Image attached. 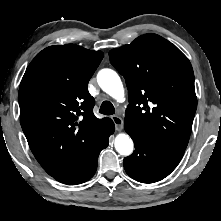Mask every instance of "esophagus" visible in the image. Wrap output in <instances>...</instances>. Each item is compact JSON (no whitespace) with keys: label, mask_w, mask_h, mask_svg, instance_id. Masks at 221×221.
Instances as JSON below:
<instances>
[{"label":"esophagus","mask_w":221,"mask_h":221,"mask_svg":"<svg viewBox=\"0 0 221 221\" xmlns=\"http://www.w3.org/2000/svg\"><path fill=\"white\" fill-rule=\"evenodd\" d=\"M110 118L114 122V124L116 126V129L118 131H121L122 128H123V120H122V118H120L119 116H116V115H113Z\"/></svg>","instance_id":"1"}]
</instances>
